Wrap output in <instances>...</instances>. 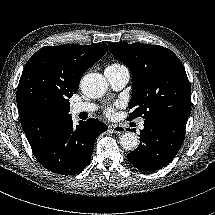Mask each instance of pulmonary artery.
Segmentation results:
<instances>
[{"instance_id":"pulmonary-artery-1","label":"pulmonary artery","mask_w":215,"mask_h":215,"mask_svg":"<svg viewBox=\"0 0 215 215\" xmlns=\"http://www.w3.org/2000/svg\"><path fill=\"white\" fill-rule=\"evenodd\" d=\"M105 76L113 89L123 88L129 81V71L126 67L119 69H105ZM96 109V106L92 103L80 102L71 105V113L77 115L83 112H92ZM141 129L144 128V120L142 119L139 123Z\"/></svg>"}]
</instances>
